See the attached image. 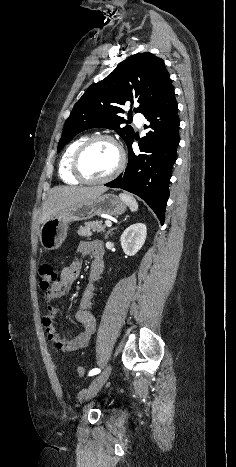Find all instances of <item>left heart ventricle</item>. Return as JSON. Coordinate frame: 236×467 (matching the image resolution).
Instances as JSON below:
<instances>
[{
	"mask_svg": "<svg viewBox=\"0 0 236 467\" xmlns=\"http://www.w3.org/2000/svg\"><path fill=\"white\" fill-rule=\"evenodd\" d=\"M118 163V152L115 146L100 140L93 143L82 158V170L89 178L98 179L110 174Z\"/></svg>",
	"mask_w": 236,
	"mask_h": 467,
	"instance_id": "1",
	"label": "left heart ventricle"
}]
</instances>
